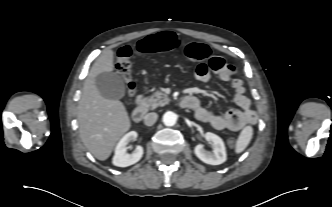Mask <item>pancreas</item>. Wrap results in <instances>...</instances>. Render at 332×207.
Here are the masks:
<instances>
[{
	"label": "pancreas",
	"instance_id": "cf45deb5",
	"mask_svg": "<svg viewBox=\"0 0 332 207\" xmlns=\"http://www.w3.org/2000/svg\"><path fill=\"white\" fill-rule=\"evenodd\" d=\"M169 98L162 91L157 90L152 96L145 98L141 102V106L145 109L154 110L159 106L168 104Z\"/></svg>",
	"mask_w": 332,
	"mask_h": 207
}]
</instances>
